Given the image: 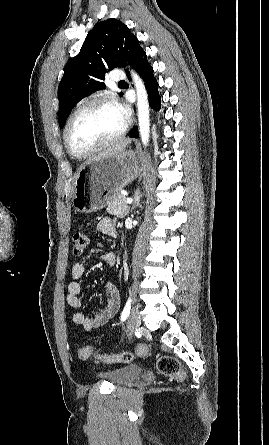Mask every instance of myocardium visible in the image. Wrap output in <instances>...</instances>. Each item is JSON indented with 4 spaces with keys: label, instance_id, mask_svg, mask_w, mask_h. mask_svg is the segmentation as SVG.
<instances>
[{
    "label": "myocardium",
    "instance_id": "f54148a6",
    "mask_svg": "<svg viewBox=\"0 0 269 445\" xmlns=\"http://www.w3.org/2000/svg\"><path fill=\"white\" fill-rule=\"evenodd\" d=\"M101 104H108V105H114L116 106V103L113 99H111L110 97H96L93 98L87 102H85L84 104H82L80 107H78L68 118L65 128H64V134H63V141H64V145L66 147V150L68 151V153L78 159L81 158H85L88 156H91L99 151H101L102 149L114 144L115 142L119 141L121 138H123L126 133L129 130V126H130V122L129 120L126 118L124 126L122 127V129L112 138L100 143L99 145H97L96 147L86 150V151H77L75 150L70 142H69V131H70V127L72 122L74 121V119L83 111H85L86 109H89L93 106L96 105H101Z\"/></svg>",
    "mask_w": 269,
    "mask_h": 445
}]
</instances>
